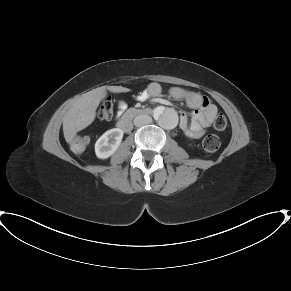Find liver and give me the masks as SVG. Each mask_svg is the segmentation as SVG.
Masks as SVG:
<instances>
[{
	"instance_id": "obj_1",
	"label": "liver",
	"mask_w": 291,
	"mask_h": 291,
	"mask_svg": "<svg viewBox=\"0 0 291 291\" xmlns=\"http://www.w3.org/2000/svg\"><path fill=\"white\" fill-rule=\"evenodd\" d=\"M113 93L127 92L122 86H102L82 95L63 117L64 137L70 143L77 132L88 127L95 119L96 109L105 98L107 91Z\"/></svg>"
}]
</instances>
